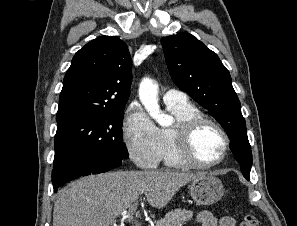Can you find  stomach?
I'll list each match as a JSON object with an SVG mask.
<instances>
[{
    "mask_svg": "<svg viewBox=\"0 0 297 226\" xmlns=\"http://www.w3.org/2000/svg\"><path fill=\"white\" fill-rule=\"evenodd\" d=\"M188 188L192 199L198 205H212L219 201L224 194L221 180L210 175L193 180Z\"/></svg>",
    "mask_w": 297,
    "mask_h": 226,
    "instance_id": "0dacf381",
    "label": "stomach"
}]
</instances>
